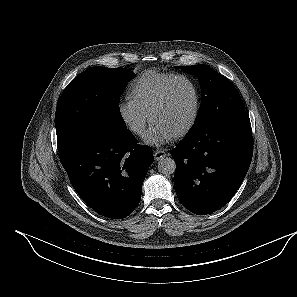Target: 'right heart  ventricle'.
Listing matches in <instances>:
<instances>
[{
    "label": "right heart ventricle",
    "mask_w": 297,
    "mask_h": 297,
    "mask_svg": "<svg viewBox=\"0 0 297 297\" xmlns=\"http://www.w3.org/2000/svg\"><path fill=\"white\" fill-rule=\"evenodd\" d=\"M176 74L149 70L141 74L131 85V98L149 114L163 87Z\"/></svg>",
    "instance_id": "right-heart-ventricle-1"
}]
</instances>
